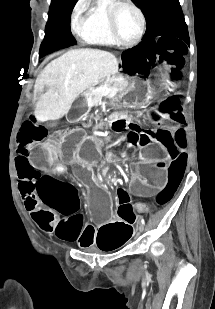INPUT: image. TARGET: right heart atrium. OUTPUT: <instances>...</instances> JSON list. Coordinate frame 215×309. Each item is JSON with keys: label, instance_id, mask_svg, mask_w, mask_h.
Masks as SVG:
<instances>
[{"label": "right heart atrium", "instance_id": "d8ad5b80", "mask_svg": "<svg viewBox=\"0 0 215 309\" xmlns=\"http://www.w3.org/2000/svg\"><path fill=\"white\" fill-rule=\"evenodd\" d=\"M78 21V13L77 12H73L72 14V22L76 23Z\"/></svg>", "mask_w": 215, "mask_h": 309}]
</instances>
